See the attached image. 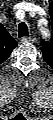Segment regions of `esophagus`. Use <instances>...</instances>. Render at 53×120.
Instances as JSON below:
<instances>
[{
	"instance_id": "obj_1",
	"label": "esophagus",
	"mask_w": 53,
	"mask_h": 120,
	"mask_svg": "<svg viewBox=\"0 0 53 120\" xmlns=\"http://www.w3.org/2000/svg\"><path fill=\"white\" fill-rule=\"evenodd\" d=\"M35 39H36V38L31 35V36H28V37H23V38H22V41H23V42H34Z\"/></svg>"
}]
</instances>
